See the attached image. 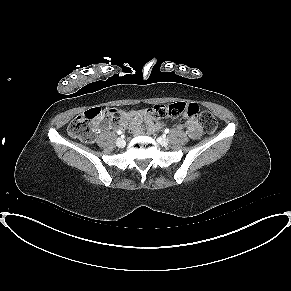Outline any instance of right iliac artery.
Wrapping results in <instances>:
<instances>
[{"label": "right iliac artery", "instance_id": "1", "mask_svg": "<svg viewBox=\"0 0 291 291\" xmlns=\"http://www.w3.org/2000/svg\"><path fill=\"white\" fill-rule=\"evenodd\" d=\"M117 134L121 135L122 134V131L121 130H118L117 131Z\"/></svg>", "mask_w": 291, "mask_h": 291}]
</instances>
